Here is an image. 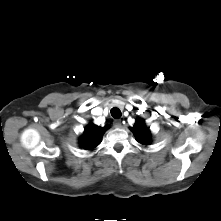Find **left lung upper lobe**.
Segmentation results:
<instances>
[{"instance_id":"1","label":"left lung upper lobe","mask_w":221,"mask_h":221,"mask_svg":"<svg viewBox=\"0 0 221 221\" xmlns=\"http://www.w3.org/2000/svg\"><path fill=\"white\" fill-rule=\"evenodd\" d=\"M130 129L139 143L143 145H149L151 143L150 130L146 127L142 119L137 120L135 125Z\"/></svg>"}]
</instances>
